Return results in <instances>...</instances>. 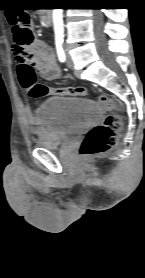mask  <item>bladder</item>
Returning <instances> with one entry per match:
<instances>
[{
	"instance_id": "31cf9c89",
	"label": "bladder",
	"mask_w": 145,
	"mask_h": 278,
	"mask_svg": "<svg viewBox=\"0 0 145 278\" xmlns=\"http://www.w3.org/2000/svg\"><path fill=\"white\" fill-rule=\"evenodd\" d=\"M37 125L33 145L56 150L80 135L100 118L98 104L90 99L49 96L35 109Z\"/></svg>"
}]
</instances>
